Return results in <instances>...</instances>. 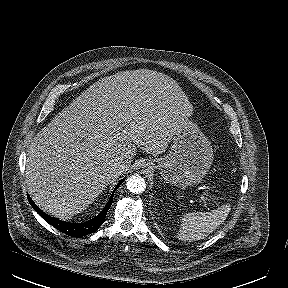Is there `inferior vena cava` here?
Instances as JSON below:
<instances>
[{"instance_id":"inferior-vena-cava-1","label":"inferior vena cava","mask_w":288,"mask_h":288,"mask_svg":"<svg viewBox=\"0 0 288 288\" xmlns=\"http://www.w3.org/2000/svg\"><path fill=\"white\" fill-rule=\"evenodd\" d=\"M125 169V165L122 163H114L109 165V167L106 169V175L109 178L116 177L117 175H120L123 170Z\"/></svg>"}]
</instances>
